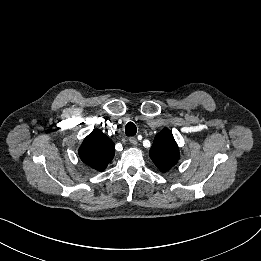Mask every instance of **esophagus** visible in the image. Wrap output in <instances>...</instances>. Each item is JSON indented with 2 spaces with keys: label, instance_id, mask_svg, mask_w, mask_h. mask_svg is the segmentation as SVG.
I'll use <instances>...</instances> for the list:
<instances>
[{
  "label": "esophagus",
  "instance_id": "1",
  "mask_svg": "<svg viewBox=\"0 0 261 261\" xmlns=\"http://www.w3.org/2000/svg\"><path fill=\"white\" fill-rule=\"evenodd\" d=\"M129 142L132 144V145H137L138 144V141L135 137H130L129 138Z\"/></svg>",
  "mask_w": 261,
  "mask_h": 261
}]
</instances>
